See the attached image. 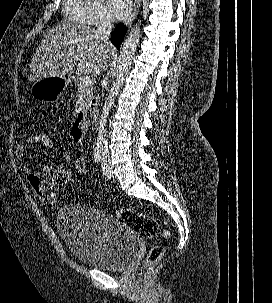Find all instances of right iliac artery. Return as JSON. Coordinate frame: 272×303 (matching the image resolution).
I'll return each instance as SVG.
<instances>
[{"label": "right iliac artery", "mask_w": 272, "mask_h": 303, "mask_svg": "<svg viewBox=\"0 0 272 303\" xmlns=\"http://www.w3.org/2000/svg\"><path fill=\"white\" fill-rule=\"evenodd\" d=\"M101 150H102V147L100 144H96L95 147H94V160L95 162H100L101 160Z\"/></svg>", "instance_id": "obj_1"}]
</instances>
